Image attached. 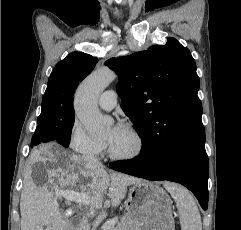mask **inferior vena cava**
Listing matches in <instances>:
<instances>
[{"instance_id": "obj_1", "label": "inferior vena cava", "mask_w": 241, "mask_h": 230, "mask_svg": "<svg viewBox=\"0 0 241 230\" xmlns=\"http://www.w3.org/2000/svg\"><path fill=\"white\" fill-rule=\"evenodd\" d=\"M85 161H87L90 165L94 166H100V161L94 156V155H86L83 158Z\"/></svg>"}]
</instances>
